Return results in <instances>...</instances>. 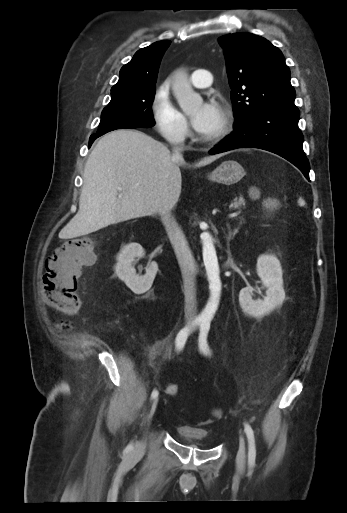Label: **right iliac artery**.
<instances>
[{"label": "right iliac artery", "instance_id": "obj_1", "mask_svg": "<svg viewBox=\"0 0 347 513\" xmlns=\"http://www.w3.org/2000/svg\"><path fill=\"white\" fill-rule=\"evenodd\" d=\"M200 322L201 321L199 319H196L195 321H193L192 325H198V324H200ZM189 332H190V329L188 327H186V328L181 329L180 332L177 334V337L175 340V346H176L177 350L180 351L183 349V347L187 341ZM157 396H158V391L156 389H154L152 391L151 398L155 399V398H157ZM126 449H127V451H130L132 449V443H130Z\"/></svg>", "mask_w": 347, "mask_h": 513}]
</instances>
